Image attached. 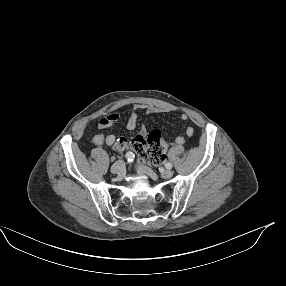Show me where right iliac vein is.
Wrapping results in <instances>:
<instances>
[{
    "label": "right iliac vein",
    "instance_id": "1",
    "mask_svg": "<svg viewBox=\"0 0 286 286\" xmlns=\"http://www.w3.org/2000/svg\"><path fill=\"white\" fill-rule=\"evenodd\" d=\"M125 170V164L122 160H118L111 166V173L122 174Z\"/></svg>",
    "mask_w": 286,
    "mask_h": 286
}]
</instances>
